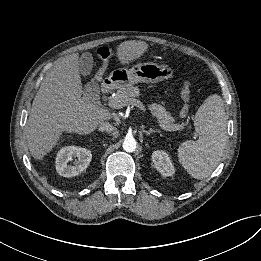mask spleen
I'll list each match as a JSON object with an SVG mask.
<instances>
[{
  "label": "spleen",
  "mask_w": 261,
  "mask_h": 261,
  "mask_svg": "<svg viewBox=\"0 0 261 261\" xmlns=\"http://www.w3.org/2000/svg\"><path fill=\"white\" fill-rule=\"evenodd\" d=\"M196 141H185L178 148L179 162L191 177L204 179L219 164L227 141V121L220 96L211 95L199 107L194 118Z\"/></svg>",
  "instance_id": "obj_1"
}]
</instances>
